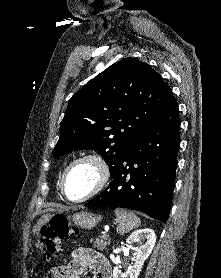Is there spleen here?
<instances>
[{
	"instance_id": "spleen-1",
	"label": "spleen",
	"mask_w": 221,
	"mask_h": 278,
	"mask_svg": "<svg viewBox=\"0 0 221 278\" xmlns=\"http://www.w3.org/2000/svg\"><path fill=\"white\" fill-rule=\"evenodd\" d=\"M114 213L116 215V221L118 222L117 232L120 234L128 233L138 228L141 224L139 217L131 211L116 208Z\"/></svg>"
}]
</instances>
